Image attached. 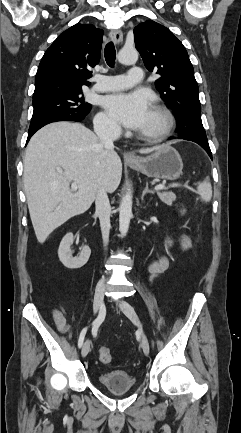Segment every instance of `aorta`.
<instances>
[{
	"label": "aorta",
	"instance_id": "1",
	"mask_svg": "<svg viewBox=\"0 0 241 433\" xmlns=\"http://www.w3.org/2000/svg\"><path fill=\"white\" fill-rule=\"evenodd\" d=\"M138 60V52L135 49L123 48L118 53V61L121 64L131 65ZM132 217V192L128 190L123 196L119 209V230L121 236L126 235Z\"/></svg>",
	"mask_w": 241,
	"mask_h": 433
}]
</instances>
